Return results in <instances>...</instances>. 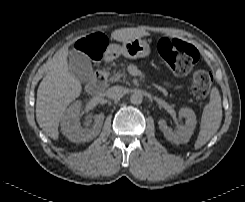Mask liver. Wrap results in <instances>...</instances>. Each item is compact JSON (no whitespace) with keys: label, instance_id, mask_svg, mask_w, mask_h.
I'll list each match as a JSON object with an SVG mask.
<instances>
[{"label":"liver","instance_id":"1","mask_svg":"<svg viewBox=\"0 0 245 202\" xmlns=\"http://www.w3.org/2000/svg\"><path fill=\"white\" fill-rule=\"evenodd\" d=\"M148 35V32L138 28H122L113 31L111 38L125 42ZM67 56L66 49L43 78L37 90V122L42 130L54 140L59 138V122L67 106L82 92L80 81L69 71Z\"/></svg>","mask_w":245,"mask_h":202}]
</instances>
